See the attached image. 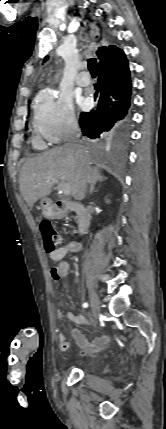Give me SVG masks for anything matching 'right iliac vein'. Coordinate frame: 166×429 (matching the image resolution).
<instances>
[{
    "instance_id": "obj_1",
    "label": "right iliac vein",
    "mask_w": 166,
    "mask_h": 429,
    "mask_svg": "<svg viewBox=\"0 0 166 429\" xmlns=\"http://www.w3.org/2000/svg\"><path fill=\"white\" fill-rule=\"evenodd\" d=\"M89 297H90V303H91L93 314L95 317H97L98 313L100 312V303H99L98 296L93 289H90Z\"/></svg>"
}]
</instances>
